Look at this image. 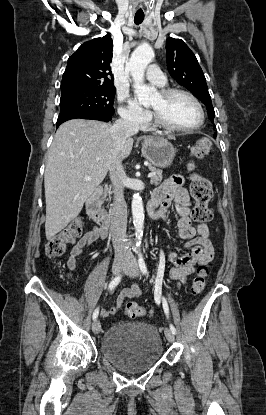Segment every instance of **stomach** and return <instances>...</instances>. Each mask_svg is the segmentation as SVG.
<instances>
[{
    "label": "stomach",
    "mask_w": 266,
    "mask_h": 415,
    "mask_svg": "<svg viewBox=\"0 0 266 415\" xmlns=\"http://www.w3.org/2000/svg\"><path fill=\"white\" fill-rule=\"evenodd\" d=\"M175 153L173 145L165 139H147L142 145V155L158 168L170 166Z\"/></svg>",
    "instance_id": "obj_1"
}]
</instances>
